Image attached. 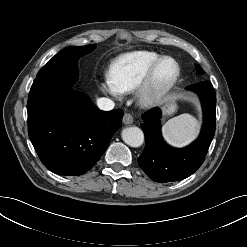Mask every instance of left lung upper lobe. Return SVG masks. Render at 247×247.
Wrapping results in <instances>:
<instances>
[{"label": "left lung upper lobe", "instance_id": "obj_1", "mask_svg": "<svg viewBox=\"0 0 247 247\" xmlns=\"http://www.w3.org/2000/svg\"><path fill=\"white\" fill-rule=\"evenodd\" d=\"M196 67H197V70H198L201 74H203V73H204V71L200 68V66H199V65H197Z\"/></svg>", "mask_w": 247, "mask_h": 247}]
</instances>
